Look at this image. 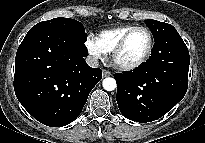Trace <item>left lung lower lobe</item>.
<instances>
[{
	"mask_svg": "<svg viewBox=\"0 0 205 143\" xmlns=\"http://www.w3.org/2000/svg\"><path fill=\"white\" fill-rule=\"evenodd\" d=\"M189 64L188 48L177 31L157 40L147 62L114 75L120 112L140 123L164 116L186 94Z\"/></svg>",
	"mask_w": 205,
	"mask_h": 143,
	"instance_id": "1",
	"label": "left lung lower lobe"
}]
</instances>
